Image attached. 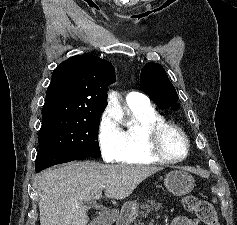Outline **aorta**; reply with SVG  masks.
<instances>
[{"label": "aorta", "mask_w": 237, "mask_h": 225, "mask_svg": "<svg viewBox=\"0 0 237 225\" xmlns=\"http://www.w3.org/2000/svg\"><path fill=\"white\" fill-rule=\"evenodd\" d=\"M107 101L108 105L106 111L109 114V116L116 121L122 120L124 114L116 95L114 93H111Z\"/></svg>", "instance_id": "762f6f07"}]
</instances>
